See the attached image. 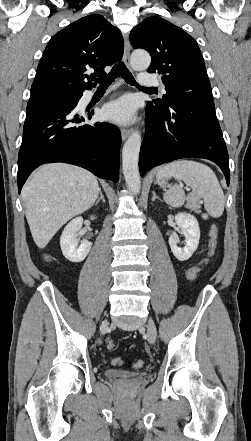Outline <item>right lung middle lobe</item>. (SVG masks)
Wrapping results in <instances>:
<instances>
[{
  "label": "right lung middle lobe",
  "instance_id": "right-lung-middle-lobe-1",
  "mask_svg": "<svg viewBox=\"0 0 251 441\" xmlns=\"http://www.w3.org/2000/svg\"><path fill=\"white\" fill-rule=\"evenodd\" d=\"M51 98L58 99V100H65L67 98H70V95H54V96H51Z\"/></svg>",
  "mask_w": 251,
  "mask_h": 441
}]
</instances>
